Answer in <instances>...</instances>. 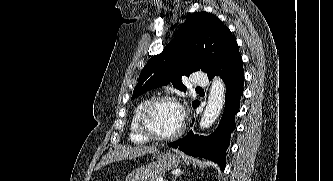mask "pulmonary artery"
<instances>
[{
    "label": "pulmonary artery",
    "instance_id": "obj_1",
    "mask_svg": "<svg viewBox=\"0 0 333 181\" xmlns=\"http://www.w3.org/2000/svg\"><path fill=\"white\" fill-rule=\"evenodd\" d=\"M193 83L198 86H205L208 84V77L205 73L197 72L193 79Z\"/></svg>",
    "mask_w": 333,
    "mask_h": 181
}]
</instances>
